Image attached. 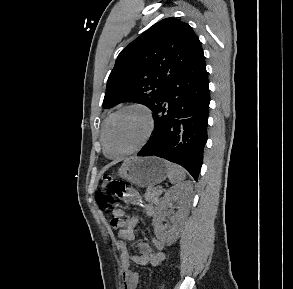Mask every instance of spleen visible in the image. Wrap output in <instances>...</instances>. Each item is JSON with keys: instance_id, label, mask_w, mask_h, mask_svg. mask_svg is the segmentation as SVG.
<instances>
[{"instance_id": "spleen-1", "label": "spleen", "mask_w": 293, "mask_h": 289, "mask_svg": "<svg viewBox=\"0 0 293 289\" xmlns=\"http://www.w3.org/2000/svg\"><path fill=\"white\" fill-rule=\"evenodd\" d=\"M168 167V178L172 184L181 183L185 179V172L183 168L176 164L166 162Z\"/></svg>"}]
</instances>
